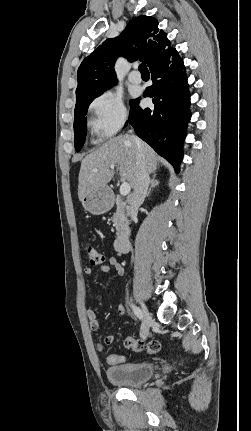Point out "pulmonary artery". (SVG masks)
<instances>
[{
  "mask_svg": "<svg viewBox=\"0 0 251 431\" xmlns=\"http://www.w3.org/2000/svg\"><path fill=\"white\" fill-rule=\"evenodd\" d=\"M128 79L131 83H140L141 82V76L137 71H132L129 76Z\"/></svg>",
  "mask_w": 251,
  "mask_h": 431,
  "instance_id": "1",
  "label": "pulmonary artery"
}]
</instances>
